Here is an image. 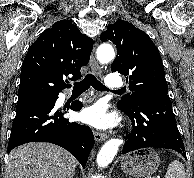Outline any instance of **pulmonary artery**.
I'll return each instance as SVG.
<instances>
[{
    "label": "pulmonary artery",
    "instance_id": "pulmonary-artery-1",
    "mask_svg": "<svg viewBox=\"0 0 194 178\" xmlns=\"http://www.w3.org/2000/svg\"><path fill=\"white\" fill-rule=\"evenodd\" d=\"M105 83H106L107 87H109L111 89L121 88L124 85V82L121 79V77H119V75H117L115 73L109 74L106 77Z\"/></svg>",
    "mask_w": 194,
    "mask_h": 178
}]
</instances>
